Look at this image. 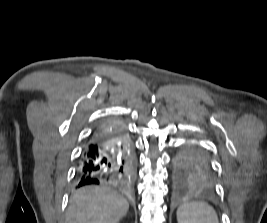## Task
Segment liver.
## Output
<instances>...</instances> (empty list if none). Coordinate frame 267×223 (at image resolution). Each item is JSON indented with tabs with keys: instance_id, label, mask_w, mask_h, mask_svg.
<instances>
[{
	"instance_id": "1",
	"label": "liver",
	"mask_w": 267,
	"mask_h": 223,
	"mask_svg": "<svg viewBox=\"0 0 267 223\" xmlns=\"http://www.w3.org/2000/svg\"><path fill=\"white\" fill-rule=\"evenodd\" d=\"M128 209V202L111 189L87 186L73 195L66 223H118Z\"/></svg>"
}]
</instances>
